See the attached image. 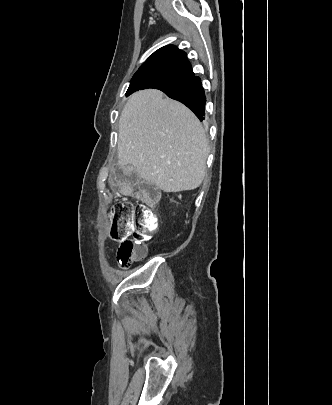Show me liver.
I'll list each match as a JSON object with an SVG mask.
<instances>
[{"mask_svg":"<svg viewBox=\"0 0 332 405\" xmlns=\"http://www.w3.org/2000/svg\"><path fill=\"white\" fill-rule=\"evenodd\" d=\"M209 154L204 129L182 103L160 90L132 94L119 119L118 164H130L164 192L202 183Z\"/></svg>","mask_w":332,"mask_h":405,"instance_id":"obj_1","label":"liver"}]
</instances>
